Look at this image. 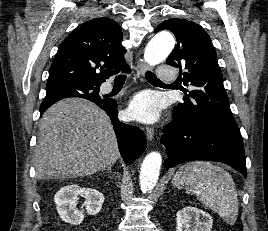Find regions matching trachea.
Masks as SVG:
<instances>
[{
	"label": "trachea",
	"mask_w": 268,
	"mask_h": 231,
	"mask_svg": "<svg viewBox=\"0 0 268 231\" xmlns=\"http://www.w3.org/2000/svg\"><path fill=\"white\" fill-rule=\"evenodd\" d=\"M145 76L147 78L148 81H151V82H161L155 75L154 73L150 72V71H147L145 73ZM117 78H126L125 75H119L117 76Z\"/></svg>",
	"instance_id": "trachea-1"
}]
</instances>
